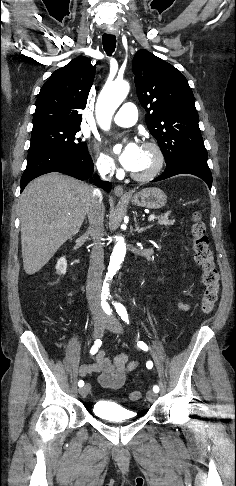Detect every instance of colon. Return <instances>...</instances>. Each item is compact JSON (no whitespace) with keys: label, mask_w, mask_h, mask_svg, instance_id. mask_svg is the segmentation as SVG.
<instances>
[{"label":"colon","mask_w":236,"mask_h":486,"mask_svg":"<svg viewBox=\"0 0 236 486\" xmlns=\"http://www.w3.org/2000/svg\"><path fill=\"white\" fill-rule=\"evenodd\" d=\"M190 233L193 240L194 258L202 270V281L205 287L201 301V311L203 314L208 315L214 310L219 297V273L215 266L214 254L206 234V228L199 212L193 213ZM141 396V392L133 391L130 393L129 398L132 401H137Z\"/></svg>","instance_id":"1"}]
</instances>
